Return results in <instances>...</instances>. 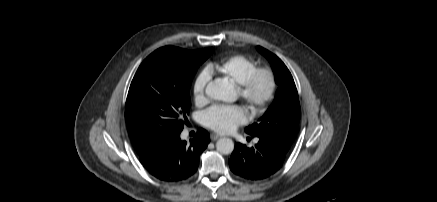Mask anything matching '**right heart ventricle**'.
I'll return each mask as SVG.
<instances>
[{
    "mask_svg": "<svg viewBox=\"0 0 437 202\" xmlns=\"http://www.w3.org/2000/svg\"><path fill=\"white\" fill-rule=\"evenodd\" d=\"M256 68L257 64L252 58L240 54L226 57L208 65L209 72L215 71L230 78L236 84H240Z\"/></svg>",
    "mask_w": 437,
    "mask_h": 202,
    "instance_id": "right-heart-ventricle-1",
    "label": "right heart ventricle"
}]
</instances>
